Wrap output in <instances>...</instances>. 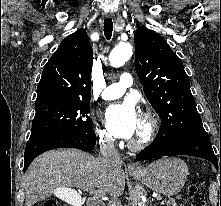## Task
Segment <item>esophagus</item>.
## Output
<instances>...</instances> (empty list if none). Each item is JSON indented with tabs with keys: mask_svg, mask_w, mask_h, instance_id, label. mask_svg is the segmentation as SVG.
<instances>
[{
	"mask_svg": "<svg viewBox=\"0 0 221 206\" xmlns=\"http://www.w3.org/2000/svg\"><path fill=\"white\" fill-rule=\"evenodd\" d=\"M107 18H111L112 14H106ZM128 170H140L141 169V165L138 163H129L127 165Z\"/></svg>",
	"mask_w": 221,
	"mask_h": 206,
	"instance_id": "esophagus-1",
	"label": "esophagus"
}]
</instances>
